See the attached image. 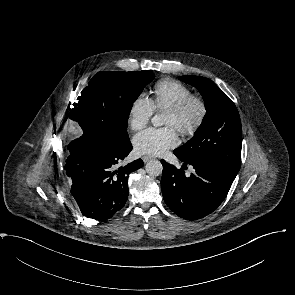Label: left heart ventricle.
<instances>
[{
	"label": "left heart ventricle",
	"mask_w": 295,
	"mask_h": 295,
	"mask_svg": "<svg viewBox=\"0 0 295 295\" xmlns=\"http://www.w3.org/2000/svg\"><path fill=\"white\" fill-rule=\"evenodd\" d=\"M195 110L192 111L186 118V121H191L194 116H195ZM181 124V120H179L177 117H175L174 115L170 114V113H166L165 117H164V125L166 127H172L177 129Z\"/></svg>",
	"instance_id": "left-heart-ventricle-1"
}]
</instances>
